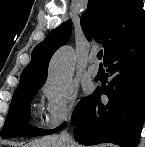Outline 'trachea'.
<instances>
[{
    "mask_svg": "<svg viewBox=\"0 0 145 147\" xmlns=\"http://www.w3.org/2000/svg\"><path fill=\"white\" fill-rule=\"evenodd\" d=\"M103 56V50H100L97 54L98 59H102Z\"/></svg>",
    "mask_w": 145,
    "mask_h": 147,
    "instance_id": "trachea-1",
    "label": "trachea"
}]
</instances>
